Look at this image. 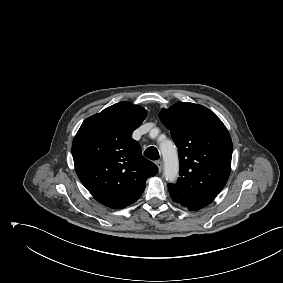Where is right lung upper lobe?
Here are the masks:
<instances>
[{
    "mask_svg": "<svg viewBox=\"0 0 283 283\" xmlns=\"http://www.w3.org/2000/svg\"><path fill=\"white\" fill-rule=\"evenodd\" d=\"M146 115L144 108L130 102L114 104L87 118L73 140L76 173L106 207L122 209L133 204L141 197L146 179L158 173L132 139Z\"/></svg>",
    "mask_w": 283,
    "mask_h": 283,
    "instance_id": "right-lung-upper-lobe-1",
    "label": "right lung upper lobe"
}]
</instances>
